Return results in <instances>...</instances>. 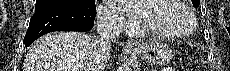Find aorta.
<instances>
[{
    "mask_svg": "<svg viewBox=\"0 0 230 71\" xmlns=\"http://www.w3.org/2000/svg\"><path fill=\"white\" fill-rule=\"evenodd\" d=\"M119 71H131L130 63H124L120 68Z\"/></svg>",
    "mask_w": 230,
    "mask_h": 71,
    "instance_id": "762f6f07",
    "label": "aorta"
}]
</instances>
